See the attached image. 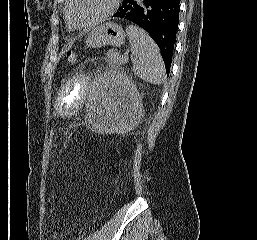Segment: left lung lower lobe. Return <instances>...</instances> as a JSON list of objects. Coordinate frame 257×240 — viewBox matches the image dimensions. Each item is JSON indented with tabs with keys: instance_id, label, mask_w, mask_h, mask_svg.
Here are the masks:
<instances>
[{
	"instance_id": "0a47b994",
	"label": "left lung lower lobe",
	"mask_w": 257,
	"mask_h": 240,
	"mask_svg": "<svg viewBox=\"0 0 257 240\" xmlns=\"http://www.w3.org/2000/svg\"><path fill=\"white\" fill-rule=\"evenodd\" d=\"M179 12V0H123L113 17L129 20L151 35L161 50L169 75Z\"/></svg>"
}]
</instances>
